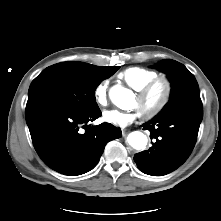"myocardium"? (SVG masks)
I'll return each mask as SVG.
<instances>
[{"label": "myocardium", "instance_id": "f54148a6", "mask_svg": "<svg viewBox=\"0 0 221 221\" xmlns=\"http://www.w3.org/2000/svg\"><path fill=\"white\" fill-rule=\"evenodd\" d=\"M159 84H163L164 86V93L160 102L149 111H140L141 116L146 120H151L155 118L166 108L172 96V81L169 77L161 75L155 77L154 79L150 80L145 85H143L140 89L136 90V97L139 100H144L147 98L150 92Z\"/></svg>", "mask_w": 221, "mask_h": 221}]
</instances>
